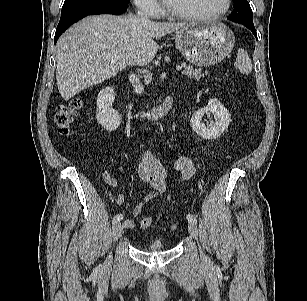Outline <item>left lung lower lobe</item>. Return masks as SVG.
Segmentation results:
<instances>
[{"label": "left lung lower lobe", "mask_w": 307, "mask_h": 301, "mask_svg": "<svg viewBox=\"0 0 307 301\" xmlns=\"http://www.w3.org/2000/svg\"><path fill=\"white\" fill-rule=\"evenodd\" d=\"M243 25H245L247 28H249L252 31V33L254 34V36L257 38V33H256V30H255L254 24H243Z\"/></svg>", "instance_id": "left-lung-lower-lobe-1"}]
</instances>
